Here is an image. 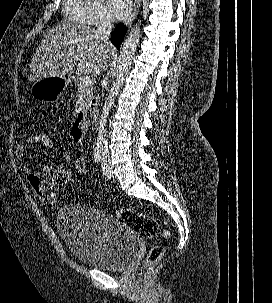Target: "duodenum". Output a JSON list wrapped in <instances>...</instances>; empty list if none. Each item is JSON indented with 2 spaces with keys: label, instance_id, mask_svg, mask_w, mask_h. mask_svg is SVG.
Instances as JSON below:
<instances>
[{
  "label": "duodenum",
  "instance_id": "duodenum-1",
  "mask_svg": "<svg viewBox=\"0 0 272 303\" xmlns=\"http://www.w3.org/2000/svg\"><path fill=\"white\" fill-rule=\"evenodd\" d=\"M96 105L92 103L88 110H84L82 108H76L75 119L73 123V128L75 132V136L80 140L85 135L87 129V121L88 117L95 111Z\"/></svg>",
  "mask_w": 272,
  "mask_h": 303
}]
</instances>
